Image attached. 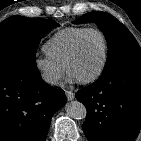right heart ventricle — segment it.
Here are the masks:
<instances>
[{"instance_id":"e07e8e85","label":"right heart ventricle","mask_w":141,"mask_h":141,"mask_svg":"<svg viewBox=\"0 0 141 141\" xmlns=\"http://www.w3.org/2000/svg\"><path fill=\"white\" fill-rule=\"evenodd\" d=\"M86 27L73 26L57 31L43 46V50L55 62L65 67L66 60L79 35Z\"/></svg>"}]
</instances>
